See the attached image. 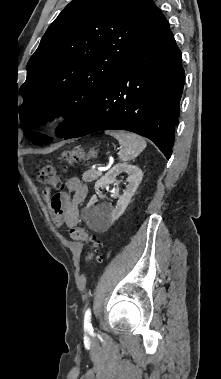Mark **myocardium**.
<instances>
[{"label": "myocardium", "instance_id": "f54148a6", "mask_svg": "<svg viewBox=\"0 0 221 379\" xmlns=\"http://www.w3.org/2000/svg\"><path fill=\"white\" fill-rule=\"evenodd\" d=\"M66 113L64 110H55L49 115V122L52 124H58L65 119Z\"/></svg>", "mask_w": 221, "mask_h": 379}]
</instances>
